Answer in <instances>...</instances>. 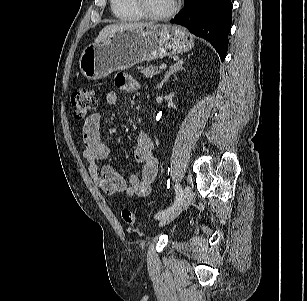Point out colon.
<instances>
[{"mask_svg": "<svg viewBox=\"0 0 307 301\" xmlns=\"http://www.w3.org/2000/svg\"><path fill=\"white\" fill-rule=\"evenodd\" d=\"M71 106L74 116L78 120L89 118L97 107L96 94L92 89L81 87L76 89L71 95ZM124 222L130 226L136 224V217L129 209L122 211Z\"/></svg>", "mask_w": 307, "mask_h": 301, "instance_id": "obj_1", "label": "colon"}]
</instances>
